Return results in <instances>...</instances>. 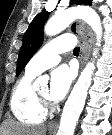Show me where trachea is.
Returning a JSON list of instances; mask_svg holds the SVG:
<instances>
[{
    "label": "trachea",
    "mask_w": 112,
    "mask_h": 135,
    "mask_svg": "<svg viewBox=\"0 0 112 135\" xmlns=\"http://www.w3.org/2000/svg\"><path fill=\"white\" fill-rule=\"evenodd\" d=\"M79 50H80V48H79V47H76V48L73 50V53H74V54H79Z\"/></svg>",
    "instance_id": "1"
}]
</instances>
